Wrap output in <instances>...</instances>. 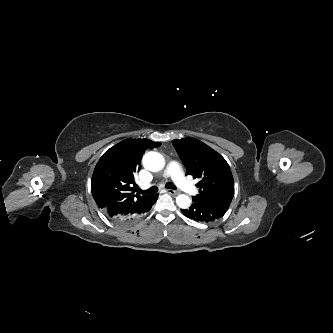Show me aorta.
<instances>
[{"instance_id": "aorta-1", "label": "aorta", "mask_w": 333, "mask_h": 333, "mask_svg": "<svg viewBox=\"0 0 333 333\" xmlns=\"http://www.w3.org/2000/svg\"><path fill=\"white\" fill-rule=\"evenodd\" d=\"M143 163L146 169L156 172L164 167V158L158 152L151 151L145 154ZM176 203L180 208L186 209L190 206L191 201L187 195H179Z\"/></svg>"}]
</instances>
